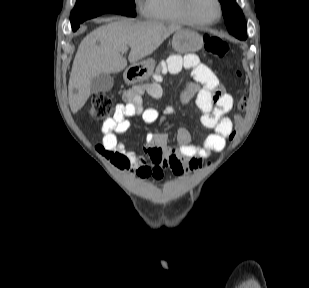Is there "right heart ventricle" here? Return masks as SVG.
<instances>
[{"mask_svg":"<svg viewBox=\"0 0 309 288\" xmlns=\"http://www.w3.org/2000/svg\"><path fill=\"white\" fill-rule=\"evenodd\" d=\"M181 2V0H145L143 14L158 22L190 24L182 10Z\"/></svg>","mask_w":309,"mask_h":288,"instance_id":"1","label":"right heart ventricle"}]
</instances>
